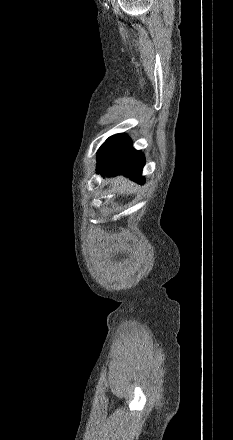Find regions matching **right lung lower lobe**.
Instances as JSON below:
<instances>
[{
  "label": "right lung lower lobe",
  "mask_w": 233,
  "mask_h": 440,
  "mask_svg": "<svg viewBox=\"0 0 233 440\" xmlns=\"http://www.w3.org/2000/svg\"><path fill=\"white\" fill-rule=\"evenodd\" d=\"M97 171L110 176L123 174L144 182L141 176L145 158L141 151L132 147V141L125 134H116L108 138L100 147L97 155Z\"/></svg>",
  "instance_id": "98d812e1"
}]
</instances>
